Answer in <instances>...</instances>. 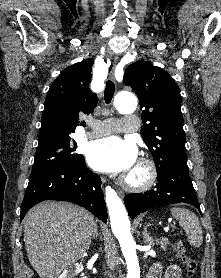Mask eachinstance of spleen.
I'll list each match as a JSON object with an SVG mask.
<instances>
[{
	"label": "spleen",
	"mask_w": 221,
	"mask_h": 278,
	"mask_svg": "<svg viewBox=\"0 0 221 278\" xmlns=\"http://www.w3.org/2000/svg\"><path fill=\"white\" fill-rule=\"evenodd\" d=\"M172 216L179 221L180 226L188 235V242L193 247H200L203 242L202 229L198 217L185 208L173 207Z\"/></svg>",
	"instance_id": "obj_1"
}]
</instances>
